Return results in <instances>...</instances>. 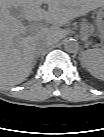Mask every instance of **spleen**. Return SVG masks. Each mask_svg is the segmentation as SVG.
I'll list each match as a JSON object with an SVG mask.
<instances>
[{
	"mask_svg": "<svg viewBox=\"0 0 104 137\" xmlns=\"http://www.w3.org/2000/svg\"><path fill=\"white\" fill-rule=\"evenodd\" d=\"M86 63L93 70H101L102 66V54L98 49H91L86 52Z\"/></svg>",
	"mask_w": 104,
	"mask_h": 137,
	"instance_id": "spleen-1",
	"label": "spleen"
}]
</instances>
